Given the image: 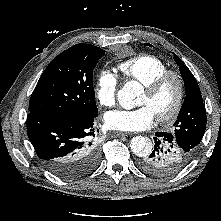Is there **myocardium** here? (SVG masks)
Listing matches in <instances>:
<instances>
[{
  "label": "myocardium",
  "instance_id": "f54148a6",
  "mask_svg": "<svg viewBox=\"0 0 221 221\" xmlns=\"http://www.w3.org/2000/svg\"><path fill=\"white\" fill-rule=\"evenodd\" d=\"M169 81H174L176 84V98L168 111L156 116L157 120L160 122L170 121L180 112L186 94L184 79L179 72L175 70H167L148 84L144 85L145 91L149 95H156Z\"/></svg>",
  "mask_w": 221,
  "mask_h": 221
}]
</instances>
